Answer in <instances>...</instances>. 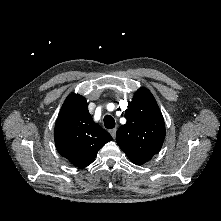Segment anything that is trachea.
I'll return each instance as SVG.
<instances>
[{
	"label": "trachea",
	"instance_id": "3493384b",
	"mask_svg": "<svg viewBox=\"0 0 221 221\" xmlns=\"http://www.w3.org/2000/svg\"><path fill=\"white\" fill-rule=\"evenodd\" d=\"M104 126H105V128H107V129H112V128L115 127V120L113 119L112 116L106 115V116L104 117Z\"/></svg>",
	"mask_w": 221,
	"mask_h": 221
}]
</instances>
